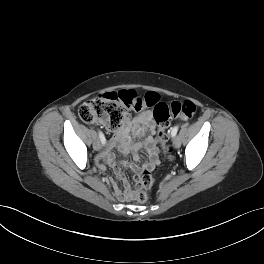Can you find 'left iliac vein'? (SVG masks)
Returning a JSON list of instances; mask_svg holds the SVG:
<instances>
[{
  "label": "left iliac vein",
  "instance_id": "1",
  "mask_svg": "<svg viewBox=\"0 0 264 264\" xmlns=\"http://www.w3.org/2000/svg\"><path fill=\"white\" fill-rule=\"evenodd\" d=\"M173 145L175 148H179L181 145V140L178 136L173 138Z\"/></svg>",
  "mask_w": 264,
  "mask_h": 264
}]
</instances>
